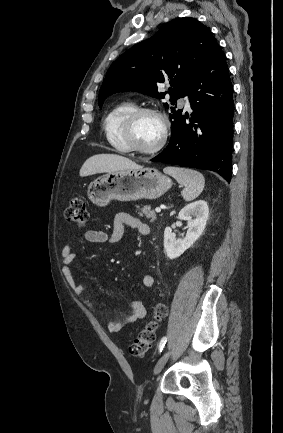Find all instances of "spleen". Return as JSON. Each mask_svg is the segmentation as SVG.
Listing matches in <instances>:
<instances>
[{"instance_id":"3e777b00","label":"spleen","mask_w":283,"mask_h":433,"mask_svg":"<svg viewBox=\"0 0 283 433\" xmlns=\"http://www.w3.org/2000/svg\"><path fill=\"white\" fill-rule=\"evenodd\" d=\"M163 172L174 176L179 184L185 186L184 190H182V196L187 202L197 198L205 186V178L198 170L180 168V166H165Z\"/></svg>"}]
</instances>
